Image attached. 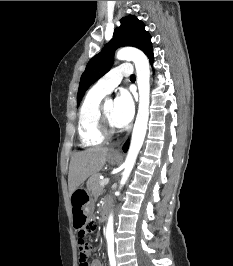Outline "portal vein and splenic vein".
<instances>
[{
	"instance_id": "portal-vein-and-splenic-vein-1",
	"label": "portal vein and splenic vein",
	"mask_w": 233,
	"mask_h": 266,
	"mask_svg": "<svg viewBox=\"0 0 233 266\" xmlns=\"http://www.w3.org/2000/svg\"><path fill=\"white\" fill-rule=\"evenodd\" d=\"M109 180H110L109 178H104L103 180H101L100 185L101 186L107 185L109 183Z\"/></svg>"
}]
</instances>
